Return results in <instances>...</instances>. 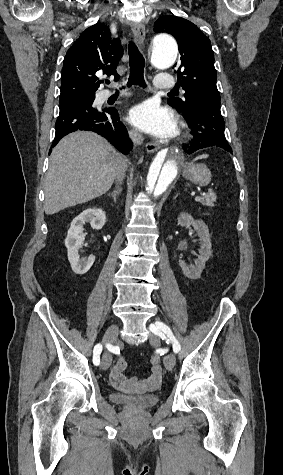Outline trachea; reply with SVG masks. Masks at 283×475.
I'll return each instance as SVG.
<instances>
[{
  "label": "trachea",
  "mask_w": 283,
  "mask_h": 475,
  "mask_svg": "<svg viewBox=\"0 0 283 475\" xmlns=\"http://www.w3.org/2000/svg\"><path fill=\"white\" fill-rule=\"evenodd\" d=\"M128 50L130 75L127 86L130 87L131 85H139L140 87H146V83L144 80L145 60L142 54L140 53L137 45L133 42V39H131V41L129 42ZM172 92L173 90H171L170 93Z\"/></svg>",
  "instance_id": "trachea-1"
}]
</instances>
